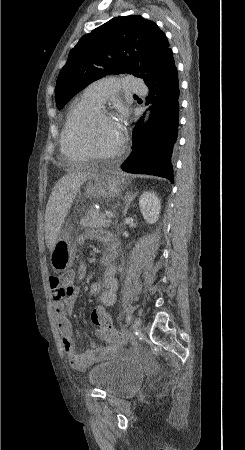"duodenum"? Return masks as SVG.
I'll return each instance as SVG.
<instances>
[{
  "label": "duodenum",
  "instance_id": "obj_1",
  "mask_svg": "<svg viewBox=\"0 0 245 450\" xmlns=\"http://www.w3.org/2000/svg\"><path fill=\"white\" fill-rule=\"evenodd\" d=\"M102 266L105 268V270L108 269L109 265H110V259L108 257L104 258L101 261Z\"/></svg>",
  "mask_w": 245,
  "mask_h": 450
}]
</instances>
